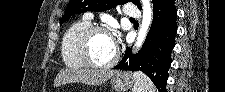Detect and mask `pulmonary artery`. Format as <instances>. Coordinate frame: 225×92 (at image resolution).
<instances>
[{
  "mask_svg": "<svg viewBox=\"0 0 225 92\" xmlns=\"http://www.w3.org/2000/svg\"><path fill=\"white\" fill-rule=\"evenodd\" d=\"M125 14H126L129 18L134 19V18L139 17L140 12L137 11V10H129V11H126ZM85 18H86L87 20L91 21V20L93 19V16H92V14L87 13V14L85 15Z\"/></svg>",
  "mask_w": 225,
  "mask_h": 92,
  "instance_id": "pulmonary-artery-1",
  "label": "pulmonary artery"
}]
</instances>
